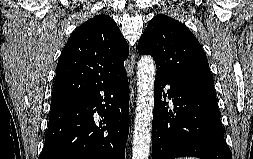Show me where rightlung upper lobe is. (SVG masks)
Returning a JSON list of instances; mask_svg holds the SVG:
<instances>
[{
  "mask_svg": "<svg viewBox=\"0 0 253 159\" xmlns=\"http://www.w3.org/2000/svg\"><path fill=\"white\" fill-rule=\"evenodd\" d=\"M129 47L115 21L97 15L68 39L56 68L51 103L73 102L95 86L119 75Z\"/></svg>",
  "mask_w": 253,
  "mask_h": 159,
  "instance_id": "obj_1",
  "label": "right lung upper lobe"
}]
</instances>
